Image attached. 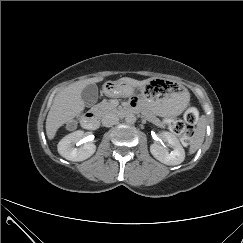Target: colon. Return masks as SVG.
Instances as JSON below:
<instances>
[{"label":"colon","instance_id":"obj_1","mask_svg":"<svg viewBox=\"0 0 243 243\" xmlns=\"http://www.w3.org/2000/svg\"><path fill=\"white\" fill-rule=\"evenodd\" d=\"M197 120L198 112L191 107L185 111L182 119H170L168 122L171 132L179 136L183 144L188 145L194 139Z\"/></svg>","mask_w":243,"mask_h":243}]
</instances>
